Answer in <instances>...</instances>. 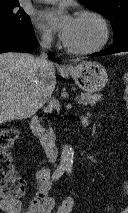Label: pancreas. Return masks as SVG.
Segmentation results:
<instances>
[{
	"instance_id": "cf45deb5",
	"label": "pancreas",
	"mask_w": 128,
	"mask_h": 213,
	"mask_svg": "<svg viewBox=\"0 0 128 213\" xmlns=\"http://www.w3.org/2000/svg\"><path fill=\"white\" fill-rule=\"evenodd\" d=\"M101 99L102 96L98 94H90V93L81 94V104L85 106L86 105L94 106Z\"/></svg>"
}]
</instances>
